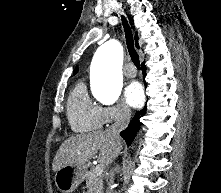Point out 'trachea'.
<instances>
[{
	"instance_id": "trachea-1",
	"label": "trachea",
	"mask_w": 221,
	"mask_h": 193,
	"mask_svg": "<svg viewBox=\"0 0 221 193\" xmlns=\"http://www.w3.org/2000/svg\"><path fill=\"white\" fill-rule=\"evenodd\" d=\"M122 24H123L124 31H125L126 43H127L129 55L131 56L132 62L137 67V69H140L139 56L134 48L132 31L128 24V21L126 20L124 16H122Z\"/></svg>"
}]
</instances>
